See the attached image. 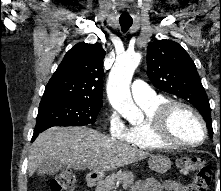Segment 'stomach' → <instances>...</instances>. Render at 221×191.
<instances>
[{
  "label": "stomach",
  "mask_w": 221,
  "mask_h": 191,
  "mask_svg": "<svg viewBox=\"0 0 221 191\" xmlns=\"http://www.w3.org/2000/svg\"><path fill=\"white\" fill-rule=\"evenodd\" d=\"M149 168L157 173H165L171 167V161L168 157L163 155L151 156L148 161ZM98 178L103 177V173L96 172Z\"/></svg>",
  "instance_id": "0dacf381"
}]
</instances>
